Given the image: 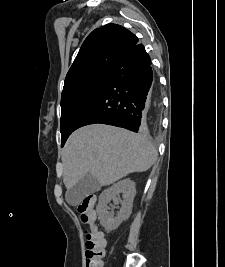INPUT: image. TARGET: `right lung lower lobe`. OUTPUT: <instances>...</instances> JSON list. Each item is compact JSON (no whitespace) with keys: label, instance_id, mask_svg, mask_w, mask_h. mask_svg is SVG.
I'll return each instance as SVG.
<instances>
[{"label":"right lung lower lobe","instance_id":"obj_1","mask_svg":"<svg viewBox=\"0 0 225 267\" xmlns=\"http://www.w3.org/2000/svg\"><path fill=\"white\" fill-rule=\"evenodd\" d=\"M155 85L150 56L142 44H136L119 56L74 129L102 123L138 132L143 128L142 111Z\"/></svg>","mask_w":225,"mask_h":267}]
</instances>
